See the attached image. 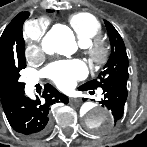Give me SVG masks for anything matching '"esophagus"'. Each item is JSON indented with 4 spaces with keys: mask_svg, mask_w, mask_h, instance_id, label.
Segmentation results:
<instances>
[{
    "mask_svg": "<svg viewBox=\"0 0 147 147\" xmlns=\"http://www.w3.org/2000/svg\"><path fill=\"white\" fill-rule=\"evenodd\" d=\"M79 99L78 98H70V102L71 103H79Z\"/></svg>",
    "mask_w": 147,
    "mask_h": 147,
    "instance_id": "obj_1",
    "label": "esophagus"
}]
</instances>
